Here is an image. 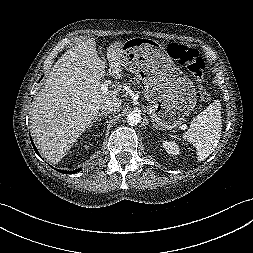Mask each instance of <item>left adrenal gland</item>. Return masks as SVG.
<instances>
[{
	"mask_svg": "<svg viewBox=\"0 0 253 253\" xmlns=\"http://www.w3.org/2000/svg\"><path fill=\"white\" fill-rule=\"evenodd\" d=\"M153 127H154L155 129H160V128H158V126H156L154 123H153Z\"/></svg>",
	"mask_w": 253,
	"mask_h": 253,
	"instance_id": "a2214340",
	"label": "left adrenal gland"
}]
</instances>
